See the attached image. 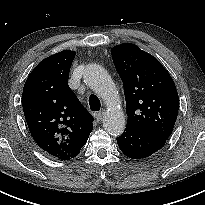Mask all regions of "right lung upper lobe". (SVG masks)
<instances>
[{
	"instance_id": "right-lung-upper-lobe-1",
	"label": "right lung upper lobe",
	"mask_w": 205,
	"mask_h": 205,
	"mask_svg": "<svg viewBox=\"0 0 205 205\" xmlns=\"http://www.w3.org/2000/svg\"><path fill=\"white\" fill-rule=\"evenodd\" d=\"M75 52L42 60L29 74L22 95L29 131L38 146L60 160L75 158L93 129V118L68 86Z\"/></svg>"
}]
</instances>
